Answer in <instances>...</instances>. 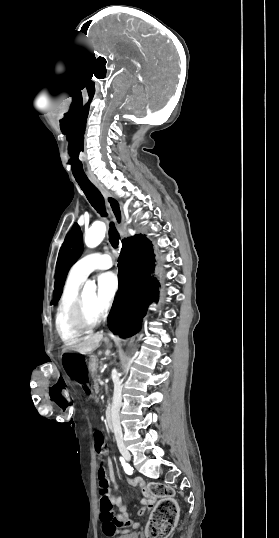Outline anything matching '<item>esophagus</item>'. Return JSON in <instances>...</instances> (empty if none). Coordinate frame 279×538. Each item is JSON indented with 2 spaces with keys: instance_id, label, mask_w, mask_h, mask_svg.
I'll return each mask as SVG.
<instances>
[{
  "instance_id": "obj_1",
  "label": "esophagus",
  "mask_w": 279,
  "mask_h": 538,
  "mask_svg": "<svg viewBox=\"0 0 279 538\" xmlns=\"http://www.w3.org/2000/svg\"><path fill=\"white\" fill-rule=\"evenodd\" d=\"M88 178L93 183V185H95V187H97L98 190L102 193L120 235L124 238L128 237V233L124 229L125 217L122 211L121 203L101 185V183L97 180L96 177L89 176ZM109 335L111 336L112 334L109 333Z\"/></svg>"
}]
</instances>
